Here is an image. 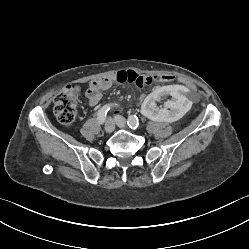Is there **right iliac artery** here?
Masks as SVG:
<instances>
[{
	"instance_id": "right-iliac-artery-1",
	"label": "right iliac artery",
	"mask_w": 249,
	"mask_h": 249,
	"mask_svg": "<svg viewBox=\"0 0 249 249\" xmlns=\"http://www.w3.org/2000/svg\"><path fill=\"white\" fill-rule=\"evenodd\" d=\"M110 110V105L103 106L97 113V119L100 124H103L106 119L107 112Z\"/></svg>"
}]
</instances>
